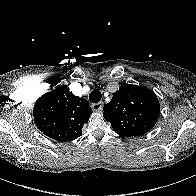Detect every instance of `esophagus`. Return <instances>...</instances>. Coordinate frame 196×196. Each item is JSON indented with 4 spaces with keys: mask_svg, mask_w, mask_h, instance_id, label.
Here are the masks:
<instances>
[{
    "mask_svg": "<svg viewBox=\"0 0 196 196\" xmlns=\"http://www.w3.org/2000/svg\"><path fill=\"white\" fill-rule=\"evenodd\" d=\"M91 108L93 111H101L103 109V102L93 103Z\"/></svg>",
    "mask_w": 196,
    "mask_h": 196,
    "instance_id": "1",
    "label": "esophagus"
}]
</instances>
